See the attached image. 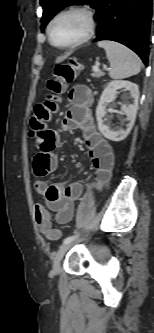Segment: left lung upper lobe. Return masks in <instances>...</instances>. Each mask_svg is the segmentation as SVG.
<instances>
[{"instance_id":"1","label":"left lung upper lobe","mask_w":154,"mask_h":333,"mask_svg":"<svg viewBox=\"0 0 154 333\" xmlns=\"http://www.w3.org/2000/svg\"><path fill=\"white\" fill-rule=\"evenodd\" d=\"M100 1L101 0H40V4L43 7L41 30L44 31V28L51 18L66 6L72 4H89L91 7L96 8Z\"/></svg>"}]
</instances>
